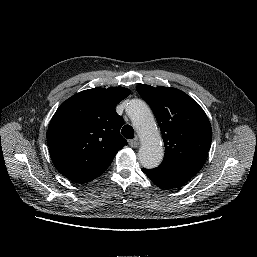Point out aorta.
<instances>
[{"mask_svg": "<svg viewBox=\"0 0 257 257\" xmlns=\"http://www.w3.org/2000/svg\"><path fill=\"white\" fill-rule=\"evenodd\" d=\"M126 112L142 139L138 152L141 165L149 169L157 167L162 162L164 150L150 109L143 101L136 99L128 104Z\"/></svg>", "mask_w": 257, "mask_h": 257, "instance_id": "762f6f07", "label": "aorta"}]
</instances>
